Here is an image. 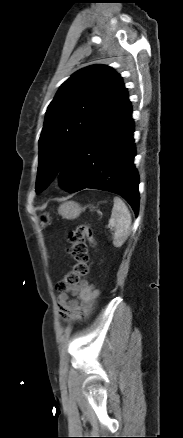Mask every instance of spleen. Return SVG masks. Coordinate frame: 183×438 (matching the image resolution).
<instances>
[{"label":"spleen","mask_w":183,"mask_h":438,"mask_svg":"<svg viewBox=\"0 0 183 438\" xmlns=\"http://www.w3.org/2000/svg\"><path fill=\"white\" fill-rule=\"evenodd\" d=\"M109 227L114 228L113 245L121 247L131 232V214L125 203L118 197L113 199Z\"/></svg>","instance_id":"1"}]
</instances>
